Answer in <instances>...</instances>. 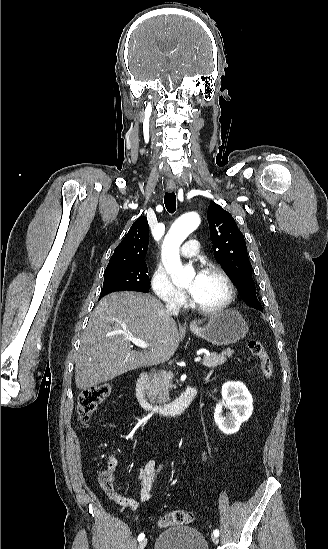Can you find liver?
I'll list each match as a JSON object with an SVG mask.
<instances>
[{
  "mask_svg": "<svg viewBox=\"0 0 328 549\" xmlns=\"http://www.w3.org/2000/svg\"><path fill=\"white\" fill-rule=\"evenodd\" d=\"M129 339L145 341L148 351H132ZM179 343L174 319L155 297L111 293L99 301L81 337L75 365L76 387L89 389L127 371L165 363L173 357Z\"/></svg>",
  "mask_w": 328,
  "mask_h": 549,
  "instance_id": "6515ba94",
  "label": "liver"
}]
</instances>
